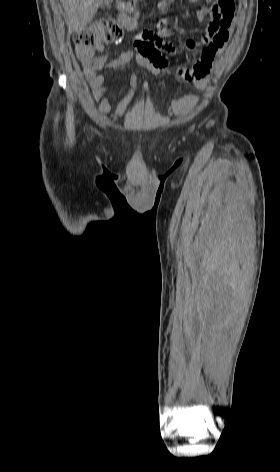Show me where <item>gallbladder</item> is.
<instances>
[{"label": "gallbladder", "mask_w": 280, "mask_h": 472, "mask_svg": "<svg viewBox=\"0 0 280 472\" xmlns=\"http://www.w3.org/2000/svg\"><path fill=\"white\" fill-rule=\"evenodd\" d=\"M113 0H100V6L101 8H105L109 6L112 3Z\"/></svg>", "instance_id": "bac80fb5"}]
</instances>
